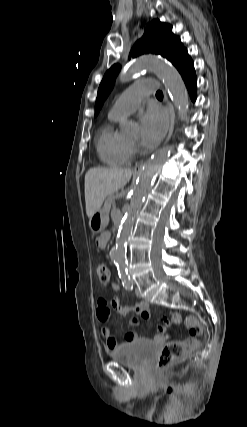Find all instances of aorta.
<instances>
[{
	"label": "aorta",
	"instance_id": "762f6f07",
	"mask_svg": "<svg viewBox=\"0 0 247 427\" xmlns=\"http://www.w3.org/2000/svg\"><path fill=\"white\" fill-rule=\"evenodd\" d=\"M146 70H153L155 74L163 80L179 112L186 116L189 109V98L185 84L174 67L157 57L143 56L135 59L130 66L120 74L119 81L122 84L126 83L130 81L134 75L140 74ZM121 129L122 133L129 135L135 131V125L132 122L124 121L122 122ZM173 152V146L165 147L157 151L154 156L144 164L140 172L136 186L131 194L130 205L127 208L118 230L116 245L110 251L111 259L115 262L118 271L122 273L126 271L127 241L132 233L135 217L142 207L155 177Z\"/></svg>",
	"mask_w": 247,
	"mask_h": 427
}]
</instances>
